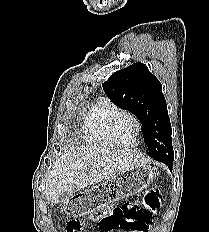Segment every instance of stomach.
<instances>
[{
	"label": "stomach",
	"mask_w": 209,
	"mask_h": 232,
	"mask_svg": "<svg viewBox=\"0 0 209 232\" xmlns=\"http://www.w3.org/2000/svg\"><path fill=\"white\" fill-rule=\"evenodd\" d=\"M155 174L156 169L145 164L119 171V176H112L111 182H102L101 186H92L84 194L67 198L64 214H71V218H86V214L105 209L109 203L139 193L150 184Z\"/></svg>",
	"instance_id": "stomach-1"
}]
</instances>
